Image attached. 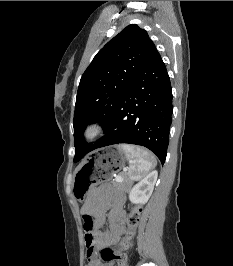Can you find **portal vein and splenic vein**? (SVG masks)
I'll return each instance as SVG.
<instances>
[{
    "label": "portal vein and splenic vein",
    "instance_id": "18ae733b",
    "mask_svg": "<svg viewBox=\"0 0 233 266\" xmlns=\"http://www.w3.org/2000/svg\"><path fill=\"white\" fill-rule=\"evenodd\" d=\"M115 179H116L117 182H122L123 181V178L120 175H117L115 177Z\"/></svg>",
    "mask_w": 233,
    "mask_h": 266
}]
</instances>
